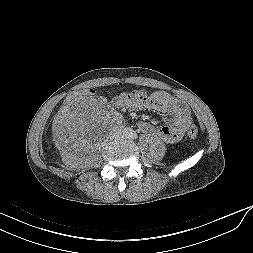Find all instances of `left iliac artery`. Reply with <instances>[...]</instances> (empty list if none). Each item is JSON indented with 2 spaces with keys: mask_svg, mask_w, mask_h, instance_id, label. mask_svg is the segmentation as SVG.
Instances as JSON below:
<instances>
[{
  "mask_svg": "<svg viewBox=\"0 0 253 253\" xmlns=\"http://www.w3.org/2000/svg\"><path fill=\"white\" fill-rule=\"evenodd\" d=\"M131 139H136L137 138V134L135 132L131 133L130 135Z\"/></svg>",
  "mask_w": 253,
  "mask_h": 253,
  "instance_id": "1",
  "label": "left iliac artery"
}]
</instances>
